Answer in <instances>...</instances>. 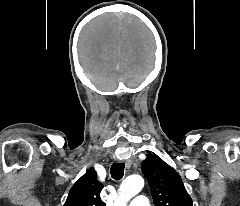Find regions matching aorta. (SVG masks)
Segmentation results:
<instances>
[{
  "mask_svg": "<svg viewBox=\"0 0 240 206\" xmlns=\"http://www.w3.org/2000/svg\"><path fill=\"white\" fill-rule=\"evenodd\" d=\"M143 186L144 180L141 176H128L120 185L115 206H126L128 201L142 190Z\"/></svg>",
  "mask_w": 240,
  "mask_h": 206,
  "instance_id": "obj_1",
  "label": "aorta"
}]
</instances>
